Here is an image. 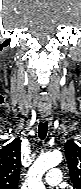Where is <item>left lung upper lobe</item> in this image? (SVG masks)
<instances>
[{
    "label": "left lung upper lobe",
    "instance_id": "left-lung-upper-lobe-1",
    "mask_svg": "<svg viewBox=\"0 0 81 189\" xmlns=\"http://www.w3.org/2000/svg\"><path fill=\"white\" fill-rule=\"evenodd\" d=\"M64 150L71 181L76 189H81V147L76 145L74 141L68 140Z\"/></svg>",
    "mask_w": 81,
    "mask_h": 189
}]
</instances>
